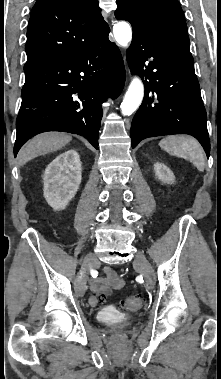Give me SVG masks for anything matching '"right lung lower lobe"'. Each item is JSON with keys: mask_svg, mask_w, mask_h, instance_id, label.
I'll return each mask as SVG.
<instances>
[{"mask_svg": "<svg viewBox=\"0 0 221 379\" xmlns=\"http://www.w3.org/2000/svg\"><path fill=\"white\" fill-rule=\"evenodd\" d=\"M109 32L81 49L24 69L15 157L27 140L46 131L84 136L98 149L101 104L117 98L125 83L123 59Z\"/></svg>", "mask_w": 221, "mask_h": 379, "instance_id": "1", "label": "right lung lower lobe"}]
</instances>
